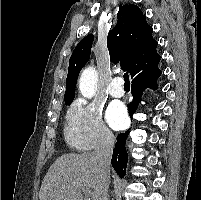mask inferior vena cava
Segmentation results:
<instances>
[{
  "label": "inferior vena cava",
  "instance_id": "602c4592",
  "mask_svg": "<svg viewBox=\"0 0 201 200\" xmlns=\"http://www.w3.org/2000/svg\"><path fill=\"white\" fill-rule=\"evenodd\" d=\"M115 143L113 134H104L95 148V158L100 168L101 180L97 190L96 200H109L110 161Z\"/></svg>",
  "mask_w": 201,
  "mask_h": 200
}]
</instances>
